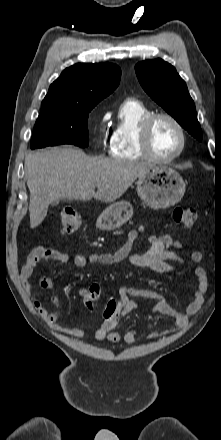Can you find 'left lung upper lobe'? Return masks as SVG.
Instances as JSON below:
<instances>
[{"label":"left lung upper lobe","instance_id":"1","mask_svg":"<svg viewBox=\"0 0 221 440\" xmlns=\"http://www.w3.org/2000/svg\"><path fill=\"white\" fill-rule=\"evenodd\" d=\"M135 71L146 93L192 136L202 141L194 102L176 69L162 59H154L138 63Z\"/></svg>","mask_w":221,"mask_h":440}]
</instances>
